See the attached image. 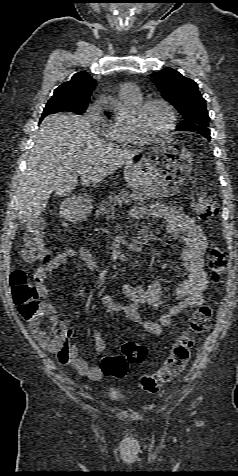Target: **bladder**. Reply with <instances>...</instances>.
<instances>
[{"label": "bladder", "mask_w": 238, "mask_h": 476, "mask_svg": "<svg viewBox=\"0 0 238 476\" xmlns=\"http://www.w3.org/2000/svg\"><path fill=\"white\" fill-rule=\"evenodd\" d=\"M108 396L113 400H119L123 397V394L119 389L111 388L108 392Z\"/></svg>", "instance_id": "bladder-1"}]
</instances>
